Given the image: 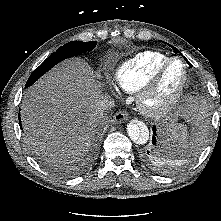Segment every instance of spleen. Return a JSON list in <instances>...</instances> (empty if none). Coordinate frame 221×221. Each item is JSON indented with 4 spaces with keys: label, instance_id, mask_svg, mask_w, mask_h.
Segmentation results:
<instances>
[{
    "label": "spleen",
    "instance_id": "obj_1",
    "mask_svg": "<svg viewBox=\"0 0 221 221\" xmlns=\"http://www.w3.org/2000/svg\"><path fill=\"white\" fill-rule=\"evenodd\" d=\"M167 136L175 147L180 148L187 142V131L181 124H176L173 128L168 129Z\"/></svg>",
    "mask_w": 221,
    "mask_h": 221
}]
</instances>
